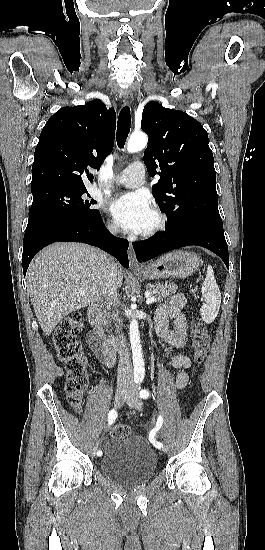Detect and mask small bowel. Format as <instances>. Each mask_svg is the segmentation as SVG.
<instances>
[{
  "label": "small bowel",
  "mask_w": 265,
  "mask_h": 550,
  "mask_svg": "<svg viewBox=\"0 0 265 550\" xmlns=\"http://www.w3.org/2000/svg\"><path fill=\"white\" fill-rule=\"evenodd\" d=\"M185 305V298L181 294H175L159 305L155 310V334L167 345L179 350L172 357V365L179 372L175 379L178 389H183L189 382L187 369L190 367V358L181 352L188 342V327L186 317L182 311ZM174 321L173 327H169V320ZM87 344L94 351L100 362L107 367L115 363L113 350L101 349L95 345V337L92 334L87 336Z\"/></svg>",
  "instance_id": "small-bowel-1"
}]
</instances>
